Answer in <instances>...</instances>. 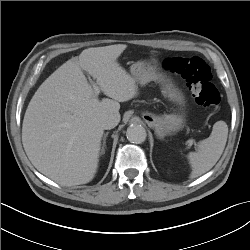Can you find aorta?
<instances>
[{
  "instance_id": "1",
  "label": "aorta",
  "mask_w": 250,
  "mask_h": 250,
  "mask_svg": "<svg viewBox=\"0 0 250 250\" xmlns=\"http://www.w3.org/2000/svg\"><path fill=\"white\" fill-rule=\"evenodd\" d=\"M126 136L131 143H142L146 140L147 133L142 125L132 124L127 128Z\"/></svg>"
}]
</instances>
